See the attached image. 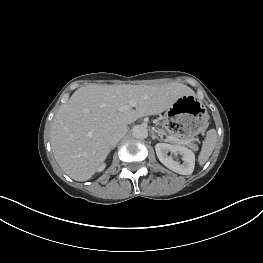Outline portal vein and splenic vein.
Wrapping results in <instances>:
<instances>
[{
    "label": "portal vein and splenic vein",
    "mask_w": 263,
    "mask_h": 263,
    "mask_svg": "<svg viewBox=\"0 0 263 263\" xmlns=\"http://www.w3.org/2000/svg\"><path fill=\"white\" fill-rule=\"evenodd\" d=\"M136 106V102L134 101H130L128 105H124L120 108L121 111H125V110H128L132 107H135ZM170 140H174L175 138L173 137H169ZM185 142H189V140H186Z\"/></svg>",
    "instance_id": "1"
}]
</instances>
